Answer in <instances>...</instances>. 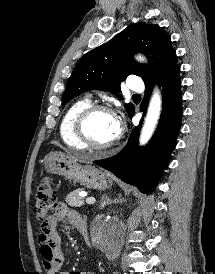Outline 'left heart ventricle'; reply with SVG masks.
Returning <instances> with one entry per match:
<instances>
[{
  "label": "left heart ventricle",
  "instance_id": "b2bd125f",
  "mask_svg": "<svg viewBox=\"0 0 215 274\" xmlns=\"http://www.w3.org/2000/svg\"><path fill=\"white\" fill-rule=\"evenodd\" d=\"M87 129L91 138L98 144H107L119 134L115 116L106 112L95 114L90 119Z\"/></svg>",
  "mask_w": 215,
  "mask_h": 274
}]
</instances>
